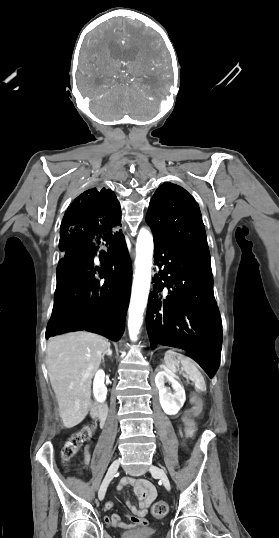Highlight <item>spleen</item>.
<instances>
[{
  "label": "spleen",
  "mask_w": 279,
  "mask_h": 538,
  "mask_svg": "<svg viewBox=\"0 0 279 538\" xmlns=\"http://www.w3.org/2000/svg\"><path fill=\"white\" fill-rule=\"evenodd\" d=\"M174 358L179 360L185 372L190 376V379L195 381L194 387H197L195 392L197 394H204L206 392L204 380L201 378L200 372L197 370L196 366L192 364L191 358H186V356H182V354H177L176 350H168V352H165L164 356L165 366H167L168 370H176L178 362H175Z\"/></svg>",
  "instance_id": "1"
}]
</instances>
